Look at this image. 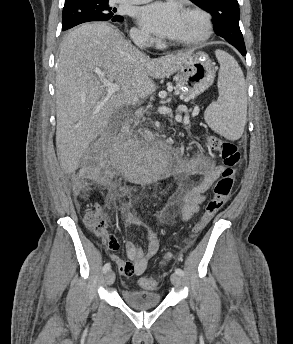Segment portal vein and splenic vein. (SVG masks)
Listing matches in <instances>:
<instances>
[{
  "instance_id": "18ae733b",
  "label": "portal vein and splenic vein",
  "mask_w": 293,
  "mask_h": 344,
  "mask_svg": "<svg viewBox=\"0 0 293 344\" xmlns=\"http://www.w3.org/2000/svg\"><path fill=\"white\" fill-rule=\"evenodd\" d=\"M103 85L106 87L107 93L109 95L115 93L116 91H119V89H120L119 85H117L116 83L110 82L108 80H105V79L103 80ZM198 113H199V108L195 107L192 115L196 116ZM178 121H180V118L178 119ZM184 122L188 123L189 118H185Z\"/></svg>"
}]
</instances>
